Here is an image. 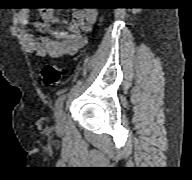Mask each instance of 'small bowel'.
Listing matches in <instances>:
<instances>
[{
    "label": "small bowel",
    "instance_id": "small-bowel-1",
    "mask_svg": "<svg viewBox=\"0 0 192 180\" xmlns=\"http://www.w3.org/2000/svg\"><path fill=\"white\" fill-rule=\"evenodd\" d=\"M40 15L42 21L36 22L34 27L47 35L38 37L27 29L30 24L29 10L22 9L17 17L28 51L39 57L59 58L76 54L86 45L85 33L91 31L96 20L95 10H76L72 14L71 23L63 30L54 27L64 24V21L57 17L52 9L43 8Z\"/></svg>",
    "mask_w": 192,
    "mask_h": 180
}]
</instances>
